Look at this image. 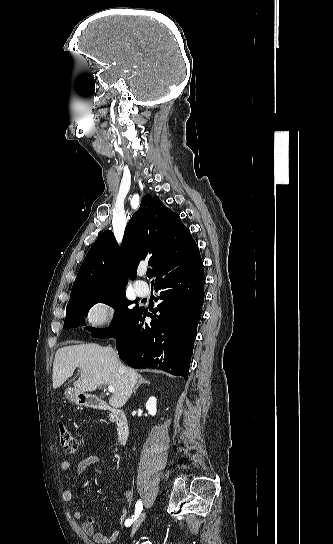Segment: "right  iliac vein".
<instances>
[{"label":"right iliac vein","mask_w":333,"mask_h":544,"mask_svg":"<svg viewBox=\"0 0 333 544\" xmlns=\"http://www.w3.org/2000/svg\"><path fill=\"white\" fill-rule=\"evenodd\" d=\"M145 517H146V513L143 512L142 514H140V516L135 520L133 526H132V530H131V534H130V538L132 539L133 536L135 535L136 531L138 530V528L141 526V524L143 523V521L145 520Z\"/></svg>","instance_id":"obj_1"}]
</instances>
